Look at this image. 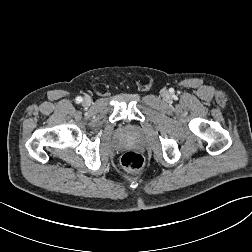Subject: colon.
Wrapping results in <instances>:
<instances>
[{
	"label": "colon",
	"mask_w": 252,
	"mask_h": 252,
	"mask_svg": "<svg viewBox=\"0 0 252 252\" xmlns=\"http://www.w3.org/2000/svg\"><path fill=\"white\" fill-rule=\"evenodd\" d=\"M120 162L124 169L138 171L143 167L144 158L138 152L129 151L122 155Z\"/></svg>",
	"instance_id": "5ec220e1"
}]
</instances>
